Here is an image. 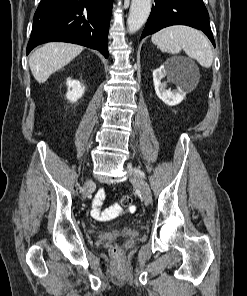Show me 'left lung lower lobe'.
<instances>
[{
  "label": "left lung lower lobe",
  "instance_id": "left-lung-lower-lobe-1",
  "mask_svg": "<svg viewBox=\"0 0 247 296\" xmlns=\"http://www.w3.org/2000/svg\"><path fill=\"white\" fill-rule=\"evenodd\" d=\"M177 24L202 30L215 47L209 14L202 0H156L140 40L164 27Z\"/></svg>",
  "mask_w": 247,
  "mask_h": 296
}]
</instances>
